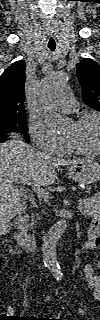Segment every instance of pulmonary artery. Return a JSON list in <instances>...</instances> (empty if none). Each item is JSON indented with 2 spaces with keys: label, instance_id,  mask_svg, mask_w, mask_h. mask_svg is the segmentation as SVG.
I'll use <instances>...</instances> for the list:
<instances>
[{
  "label": "pulmonary artery",
  "instance_id": "1",
  "mask_svg": "<svg viewBox=\"0 0 100 320\" xmlns=\"http://www.w3.org/2000/svg\"><path fill=\"white\" fill-rule=\"evenodd\" d=\"M54 106L57 107L61 112L70 113L74 111L75 99L68 90H65L54 102Z\"/></svg>",
  "mask_w": 100,
  "mask_h": 320
}]
</instances>
